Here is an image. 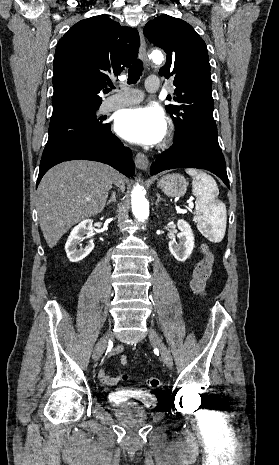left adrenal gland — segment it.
Returning <instances> with one entry per match:
<instances>
[{
	"instance_id": "left-adrenal-gland-1",
	"label": "left adrenal gland",
	"mask_w": 279,
	"mask_h": 465,
	"mask_svg": "<svg viewBox=\"0 0 279 465\" xmlns=\"http://www.w3.org/2000/svg\"><path fill=\"white\" fill-rule=\"evenodd\" d=\"M156 195H157V200H156V202H155V205H156V206H158L159 202H161V201L165 202V200L162 199V198L160 197V194H159V193H157Z\"/></svg>"
}]
</instances>
